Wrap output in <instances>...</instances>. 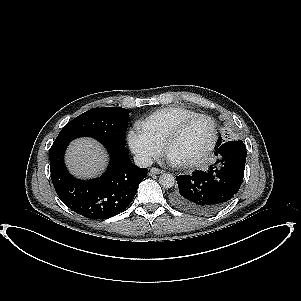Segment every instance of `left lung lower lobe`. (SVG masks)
Instances as JSON below:
<instances>
[{
	"label": "left lung lower lobe",
	"mask_w": 301,
	"mask_h": 301,
	"mask_svg": "<svg viewBox=\"0 0 301 301\" xmlns=\"http://www.w3.org/2000/svg\"><path fill=\"white\" fill-rule=\"evenodd\" d=\"M217 161L206 172L176 177L178 188L171 202L195 214H209L226 206L238 193L244 177L246 147L242 141H228L216 147Z\"/></svg>",
	"instance_id": "0a47b994"
}]
</instances>
